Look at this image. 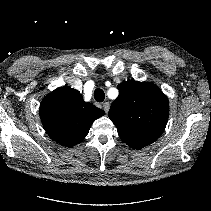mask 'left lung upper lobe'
<instances>
[{"label":"left lung upper lobe","mask_w":211,"mask_h":211,"mask_svg":"<svg viewBox=\"0 0 211 211\" xmlns=\"http://www.w3.org/2000/svg\"><path fill=\"white\" fill-rule=\"evenodd\" d=\"M119 96L108 116L123 142L133 149L153 143L164 131L169 102L164 93L147 82L128 80L117 86Z\"/></svg>","instance_id":"obj_1"}]
</instances>
